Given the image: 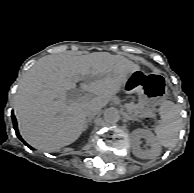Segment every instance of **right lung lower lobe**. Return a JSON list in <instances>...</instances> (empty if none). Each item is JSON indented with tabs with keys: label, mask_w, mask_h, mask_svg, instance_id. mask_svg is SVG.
I'll return each mask as SVG.
<instances>
[{
	"label": "right lung lower lobe",
	"mask_w": 194,
	"mask_h": 193,
	"mask_svg": "<svg viewBox=\"0 0 194 193\" xmlns=\"http://www.w3.org/2000/svg\"><path fill=\"white\" fill-rule=\"evenodd\" d=\"M12 119H13V125H14V129H15V131H16V135L18 136V138L20 139V140H22L23 141V139L21 138V136H20V134H19V132H18V128H17V122H16V118H15V116H14V113L12 112ZM25 143V142H24ZM26 144V143H25ZM30 149H33L32 147H30L28 144H26Z\"/></svg>",
	"instance_id": "98d812e1"
}]
</instances>
